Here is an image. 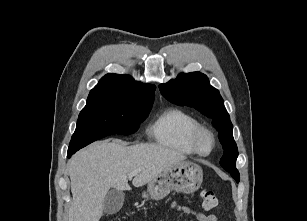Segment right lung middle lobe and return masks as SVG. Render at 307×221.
Here are the masks:
<instances>
[{
	"mask_svg": "<svg viewBox=\"0 0 307 221\" xmlns=\"http://www.w3.org/2000/svg\"><path fill=\"white\" fill-rule=\"evenodd\" d=\"M153 101L103 99L87 102L79 114L68 155L100 138L134 133L148 116Z\"/></svg>",
	"mask_w": 307,
	"mask_h": 221,
	"instance_id": "dd1d6c3e",
	"label": "right lung middle lobe"
}]
</instances>
